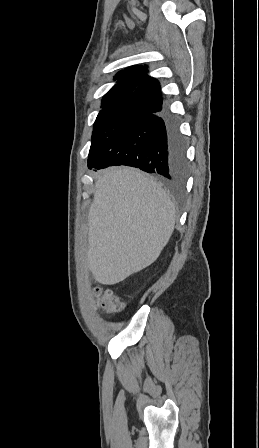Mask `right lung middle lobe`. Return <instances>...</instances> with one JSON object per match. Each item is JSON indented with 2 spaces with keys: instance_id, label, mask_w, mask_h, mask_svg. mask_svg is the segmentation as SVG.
I'll list each match as a JSON object with an SVG mask.
<instances>
[{
  "instance_id": "dd1d6c3e",
  "label": "right lung middle lobe",
  "mask_w": 259,
  "mask_h": 448,
  "mask_svg": "<svg viewBox=\"0 0 259 448\" xmlns=\"http://www.w3.org/2000/svg\"><path fill=\"white\" fill-rule=\"evenodd\" d=\"M139 113H99L93 126L92 144L88 156L90 169L107 146L135 119Z\"/></svg>"
}]
</instances>
